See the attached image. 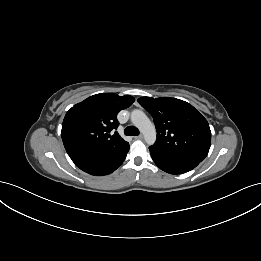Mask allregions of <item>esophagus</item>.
<instances>
[{"instance_id": "34e87169", "label": "esophagus", "mask_w": 261, "mask_h": 261, "mask_svg": "<svg viewBox=\"0 0 261 261\" xmlns=\"http://www.w3.org/2000/svg\"><path fill=\"white\" fill-rule=\"evenodd\" d=\"M135 139H143V135L136 136Z\"/></svg>"}]
</instances>
